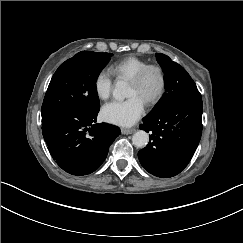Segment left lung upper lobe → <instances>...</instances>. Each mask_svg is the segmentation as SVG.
Instances as JSON below:
<instances>
[{
    "mask_svg": "<svg viewBox=\"0 0 243 243\" xmlns=\"http://www.w3.org/2000/svg\"><path fill=\"white\" fill-rule=\"evenodd\" d=\"M156 58L164 71L166 92L155 108L146 117L157 115L175 99L181 97H201L195 82L182 66L161 53H157Z\"/></svg>",
    "mask_w": 243,
    "mask_h": 243,
    "instance_id": "obj_1",
    "label": "left lung upper lobe"
}]
</instances>
